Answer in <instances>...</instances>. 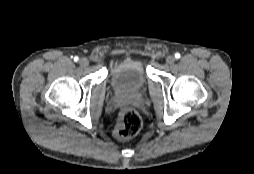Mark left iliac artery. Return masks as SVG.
Masks as SVG:
<instances>
[{
	"label": "left iliac artery",
	"mask_w": 254,
	"mask_h": 174,
	"mask_svg": "<svg viewBox=\"0 0 254 174\" xmlns=\"http://www.w3.org/2000/svg\"><path fill=\"white\" fill-rule=\"evenodd\" d=\"M175 58L179 59L180 58V54L179 53H175Z\"/></svg>",
	"instance_id": "obj_1"
}]
</instances>
